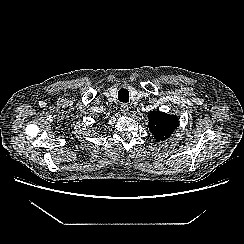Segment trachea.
Returning a JSON list of instances; mask_svg holds the SVG:
<instances>
[{
	"label": "trachea",
	"mask_w": 244,
	"mask_h": 244,
	"mask_svg": "<svg viewBox=\"0 0 244 244\" xmlns=\"http://www.w3.org/2000/svg\"><path fill=\"white\" fill-rule=\"evenodd\" d=\"M118 100L123 103L129 102V91L127 89H120L118 92Z\"/></svg>",
	"instance_id": "1"
}]
</instances>
